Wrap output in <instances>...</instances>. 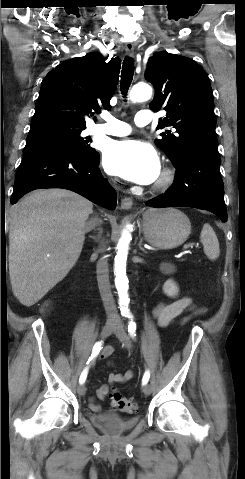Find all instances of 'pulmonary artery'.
Instances as JSON below:
<instances>
[{
	"label": "pulmonary artery",
	"instance_id": "e3ab8cb5",
	"mask_svg": "<svg viewBox=\"0 0 245 479\" xmlns=\"http://www.w3.org/2000/svg\"><path fill=\"white\" fill-rule=\"evenodd\" d=\"M105 123L95 125L92 128V133H101L112 136H124L130 133L131 127L129 124L120 121L110 115L104 116ZM152 121V114L148 110L139 111L134 118V122L138 126H145Z\"/></svg>",
	"mask_w": 245,
	"mask_h": 479
}]
</instances>
